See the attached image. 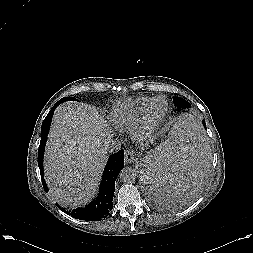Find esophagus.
Instances as JSON below:
<instances>
[{"label":"esophagus","instance_id":"esophagus-1","mask_svg":"<svg viewBox=\"0 0 253 253\" xmlns=\"http://www.w3.org/2000/svg\"><path fill=\"white\" fill-rule=\"evenodd\" d=\"M124 160L126 164H131L136 161V154L134 150L128 149L125 151Z\"/></svg>","mask_w":253,"mask_h":253}]
</instances>
